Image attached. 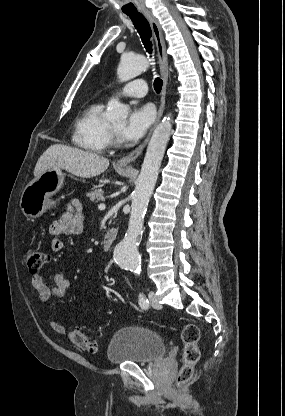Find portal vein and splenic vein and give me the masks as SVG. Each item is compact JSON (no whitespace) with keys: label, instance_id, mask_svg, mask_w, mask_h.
Wrapping results in <instances>:
<instances>
[{"label":"portal vein and splenic vein","instance_id":"18ae733b","mask_svg":"<svg viewBox=\"0 0 285 416\" xmlns=\"http://www.w3.org/2000/svg\"><path fill=\"white\" fill-rule=\"evenodd\" d=\"M98 208L99 210H105L106 206L105 204H99Z\"/></svg>","mask_w":285,"mask_h":416}]
</instances>
